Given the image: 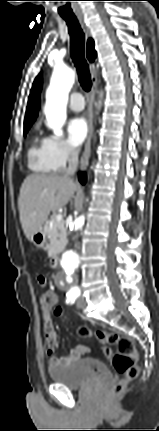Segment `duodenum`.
<instances>
[{
	"mask_svg": "<svg viewBox=\"0 0 159 431\" xmlns=\"http://www.w3.org/2000/svg\"><path fill=\"white\" fill-rule=\"evenodd\" d=\"M60 256L55 254L50 259V266L53 269H56L59 266Z\"/></svg>",
	"mask_w": 159,
	"mask_h": 431,
	"instance_id": "obj_1",
	"label": "duodenum"
}]
</instances>
